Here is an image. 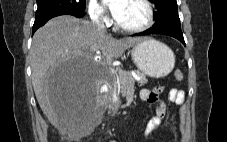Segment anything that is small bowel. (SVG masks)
I'll list each match as a JSON object with an SVG mask.
<instances>
[{"label": "small bowel", "instance_id": "small-bowel-1", "mask_svg": "<svg viewBox=\"0 0 227 142\" xmlns=\"http://www.w3.org/2000/svg\"><path fill=\"white\" fill-rule=\"evenodd\" d=\"M162 87H156L153 89L144 88L140 92V97L142 100L150 103L156 104V113L153 119L149 122L147 127L145 128V135H150L162 122V119L165 117L167 112L166 104L160 100V94L162 93ZM169 100L180 105L184 102L185 94L182 90L172 88L168 93ZM109 142H115L110 140Z\"/></svg>", "mask_w": 227, "mask_h": 142}]
</instances>
